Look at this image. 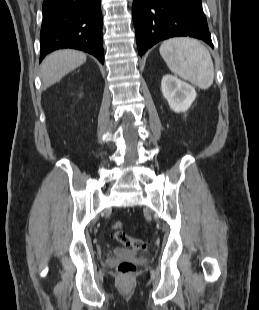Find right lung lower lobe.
<instances>
[{"label":"right lung lower lobe","mask_w":259,"mask_h":310,"mask_svg":"<svg viewBox=\"0 0 259 310\" xmlns=\"http://www.w3.org/2000/svg\"><path fill=\"white\" fill-rule=\"evenodd\" d=\"M40 61L50 52L74 48L104 64L100 0H44Z\"/></svg>","instance_id":"obj_1"}]
</instances>
